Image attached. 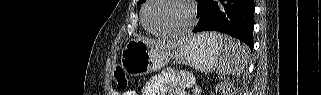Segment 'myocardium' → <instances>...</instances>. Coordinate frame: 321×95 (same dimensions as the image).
Returning a JSON list of instances; mask_svg holds the SVG:
<instances>
[{
    "mask_svg": "<svg viewBox=\"0 0 321 95\" xmlns=\"http://www.w3.org/2000/svg\"><path fill=\"white\" fill-rule=\"evenodd\" d=\"M158 0H149L143 10V14H142V22H143V26L145 27V29L156 36H162V37H170V36H182L187 34L188 32L191 31V29L193 28V26L196 23L197 20V9L195 6L194 1L192 0H181L182 2H184L186 4V6L188 7L189 10V22L186 25L185 28L180 29V30H176V31H168V32H160L157 30H154L153 28L150 27V25L148 24V11L150 9V7L156 3Z\"/></svg>",
    "mask_w": 321,
    "mask_h": 95,
    "instance_id": "f54148a6",
    "label": "myocardium"
}]
</instances>
